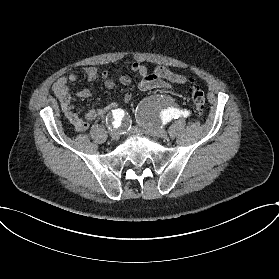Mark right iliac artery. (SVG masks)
I'll return each mask as SVG.
<instances>
[{"label":"right iliac artery","instance_id":"right-iliac-artery-1","mask_svg":"<svg viewBox=\"0 0 279 279\" xmlns=\"http://www.w3.org/2000/svg\"><path fill=\"white\" fill-rule=\"evenodd\" d=\"M114 121L112 122L114 128H117L121 124V119L124 116V111L121 109H116L112 111Z\"/></svg>","mask_w":279,"mask_h":279}]
</instances>
